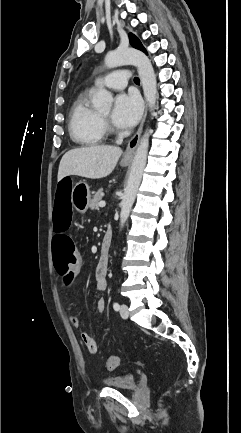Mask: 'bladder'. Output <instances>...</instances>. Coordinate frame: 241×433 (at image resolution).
Returning <instances> with one entry per match:
<instances>
[{"mask_svg":"<svg viewBox=\"0 0 241 433\" xmlns=\"http://www.w3.org/2000/svg\"><path fill=\"white\" fill-rule=\"evenodd\" d=\"M103 384L118 390H134L137 386V376L133 373L107 376L103 379Z\"/></svg>","mask_w":241,"mask_h":433,"instance_id":"bladder-1","label":"bladder"}]
</instances>
